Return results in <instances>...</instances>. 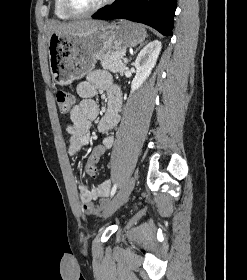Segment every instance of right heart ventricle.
<instances>
[{
  "label": "right heart ventricle",
  "instance_id": "e07e8e85",
  "mask_svg": "<svg viewBox=\"0 0 247 280\" xmlns=\"http://www.w3.org/2000/svg\"><path fill=\"white\" fill-rule=\"evenodd\" d=\"M54 13L61 20H69L72 18L63 8L62 0H54Z\"/></svg>",
  "mask_w": 247,
  "mask_h": 280
}]
</instances>
